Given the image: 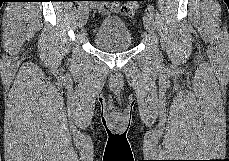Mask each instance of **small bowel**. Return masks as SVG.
Masks as SVG:
<instances>
[{"label": "small bowel", "instance_id": "obj_1", "mask_svg": "<svg viewBox=\"0 0 229 161\" xmlns=\"http://www.w3.org/2000/svg\"><path fill=\"white\" fill-rule=\"evenodd\" d=\"M117 10H118V5L115 2H111L103 10V12H105V13H111V12H116Z\"/></svg>", "mask_w": 229, "mask_h": 161}]
</instances>
